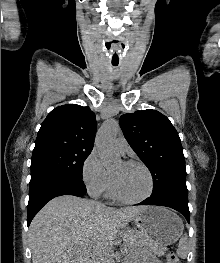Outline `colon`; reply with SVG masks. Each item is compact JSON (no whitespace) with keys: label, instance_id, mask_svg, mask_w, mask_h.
I'll return each instance as SVG.
<instances>
[{"label":"colon","instance_id":"colon-1","mask_svg":"<svg viewBox=\"0 0 220 263\" xmlns=\"http://www.w3.org/2000/svg\"><path fill=\"white\" fill-rule=\"evenodd\" d=\"M167 263H180V261L176 254L169 253L167 256Z\"/></svg>","mask_w":220,"mask_h":263}]
</instances>
